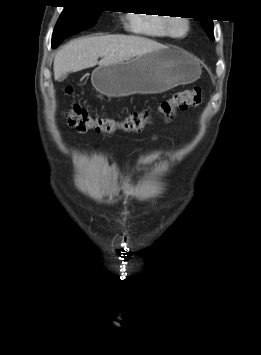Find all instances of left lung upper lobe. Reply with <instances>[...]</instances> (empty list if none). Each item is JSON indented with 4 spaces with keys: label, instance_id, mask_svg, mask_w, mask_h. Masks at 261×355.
Wrapping results in <instances>:
<instances>
[{
    "label": "left lung upper lobe",
    "instance_id": "5c2ea615",
    "mask_svg": "<svg viewBox=\"0 0 261 355\" xmlns=\"http://www.w3.org/2000/svg\"><path fill=\"white\" fill-rule=\"evenodd\" d=\"M201 20V25L202 28L204 29V31L208 34L209 38L214 40V36H213V22L212 20Z\"/></svg>",
    "mask_w": 261,
    "mask_h": 355
}]
</instances>
